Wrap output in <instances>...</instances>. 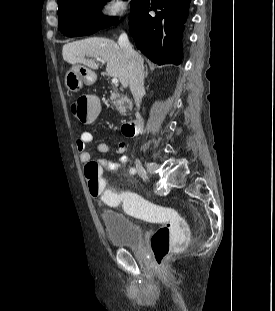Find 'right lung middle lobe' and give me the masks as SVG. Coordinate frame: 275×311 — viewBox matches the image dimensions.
Returning <instances> with one entry per match:
<instances>
[{
	"label": "right lung middle lobe",
	"mask_w": 275,
	"mask_h": 311,
	"mask_svg": "<svg viewBox=\"0 0 275 311\" xmlns=\"http://www.w3.org/2000/svg\"><path fill=\"white\" fill-rule=\"evenodd\" d=\"M110 0H69L58 5V29L66 36H78L79 31L90 25L97 30L108 27L115 18L100 14L101 8ZM143 3V0L131 2V13Z\"/></svg>",
	"instance_id": "right-lung-middle-lobe-1"
}]
</instances>
